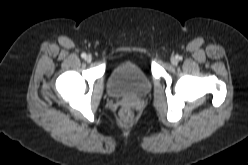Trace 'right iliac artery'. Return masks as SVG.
<instances>
[{
  "instance_id": "1",
  "label": "right iliac artery",
  "mask_w": 248,
  "mask_h": 165,
  "mask_svg": "<svg viewBox=\"0 0 248 165\" xmlns=\"http://www.w3.org/2000/svg\"><path fill=\"white\" fill-rule=\"evenodd\" d=\"M81 57H82V58H86V54H85V53H82V54H81Z\"/></svg>"
}]
</instances>
